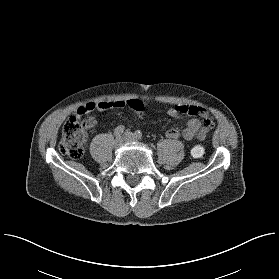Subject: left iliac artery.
<instances>
[{"mask_svg":"<svg viewBox=\"0 0 279 279\" xmlns=\"http://www.w3.org/2000/svg\"><path fill=\"white\" fill-rule=\"evenodd\" d=\"M135 136H136L138 139H143L142 132L139 131V130H137V131L135 132Z\"/></svg>","mask_w":279,"mask_h":279,"instance_id":"1","label":"left iliac artery"}]
</instances>
